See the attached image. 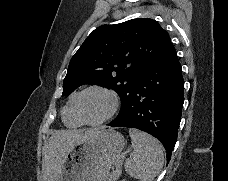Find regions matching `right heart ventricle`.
<instances>
[{
    "mask_svg": "<svg viewBox=\"0 0 228 181\" xmlns=\"http://www.w3.org/2000/svg\"><path fill=\"white\" fill-rule=\"evenodd\" d=\"M74 99H75V96H73L70 99L68 105L66 106V108L64 109V112H63L64 121L70 127H76L81 124V121L78 118V116L76 115L75 110H74Z\"/></svg>",
    "mask_w": 228,
    "mask_h": 181,
    "instance_id": "e07e8e85",
    "label": "right heart ventricle"
}]
</instances>
